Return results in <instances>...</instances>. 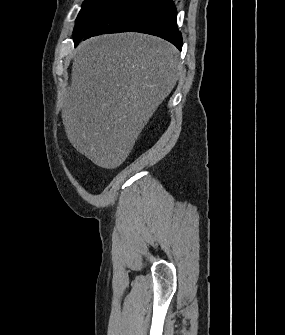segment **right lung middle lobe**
I'll return each mask as SVG.
<instances>
[{"label":"right lung middle lobe","mask_w":285,"mask_h":335,"mask_svg":"<svg viewBox=\"0 0 285 335\" xmlns=\"http://www.w3.org/2000/svg\"><path fill=\"white\" fill-rule=\"evenodd\" d=\"M120 0H85L78 14L74 28V42L78 43L87 33L89 28Z\"/></svg>","instance_id":"right-lung-middle-lobe-1"}]
</instances>
